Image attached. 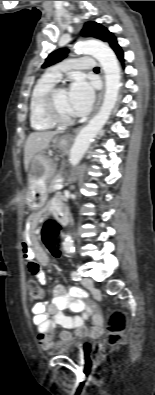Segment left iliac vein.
<instances>
[{
  "label": "left iliac vein",
  "mask_w": 155,
  "mask_h": 395,
  "mask_svg": "<svg viewBox=\"0 0 155 395\" xmlns=\"http://www.w3.org/2000/svg\"><path fill=\"white\" fill-rule=\"evenodd\" d=\"M81 283L87 289H91L93 287V281L89 277L83 278Z\"/></svg>",
  "instance_id": "left-iliac-vein-1"
}]
</instances>
